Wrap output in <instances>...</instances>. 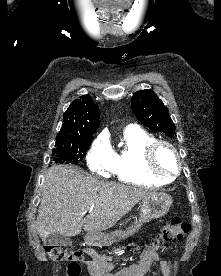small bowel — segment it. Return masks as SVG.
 Instances as JSON below:
<instances>
[{"label":"small bowel","instance_id":"1","mask_svg":"<svg viewBox=\"0 0 221 276\" xmlns=\"http://www.w3.org/2000/svg\"><path fill=\"white\" fill-rule=\"evenodd\" d=\"M89 259L85 261L91 276H144L154 263H159L163 276H171V268L167 261L160 260L157 246H147L140 255L139 261L119 271H114L113 258L98 254L94 250H88Z\"/></svg>","mask_w":221,"mask_h":276}]
</instances>
